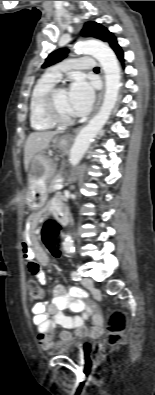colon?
<instances>
[{
  "mask_svg": "<svg viewBox=\"0 0 155 395\" xmlns=\"http://www.w3.org/2000/svg\"><path fill=\"white\" fill-rule=\"evenodd\" d=\"M61 223L47 222L42 229V239L49 251L50 256H61L62 250L57 245L62 244ZM45 297L43 287L35 280L28 282V298L30 302H40ZM127 317L123 310H115L111 313L107 323V344L116 346L120 343L126 329Z\"/></svg>",
  "mask_w": 155,
  "mask_h": 395,
  "instance_id": "colon-1",
  "label": "colon"
}]
</instances>
